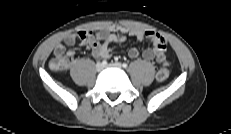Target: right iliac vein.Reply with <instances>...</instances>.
I'll return each mask as SVG.
<instances>
[{"label":"right iliac vein","instance_id":"1","mask_svg":"<svg viewBox=\"0 0 231 134\" xmlns=\"http://www.w3.org/2000/svg\"><path fill=\"white\" fill-rule=\"evenodd\" d=\"M104 69V66L101 63L96 64V71L101 72Z\"/></svg>","mask_w":231,"mask_h":134}]
</instances>
